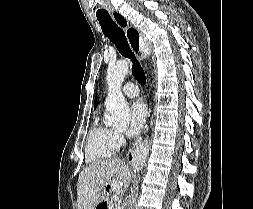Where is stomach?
<instances>
[{
	"label": "stomach",
	"mask_w": 253,
	"mask_h": 209,
	"mask_svg": "<svg viewBox=\"0 0 253 209\" xmlns=\"http://www.w3.org/2000/svg\"><path fill=\"white\" fill-rule=\"evenodd\" d=\"M113 182L101 181L103 191H98V199L95 202V209H114L113 196L114 188Z\"/></svg>",
	"instance_id": "stomach-1"
}]
</instances>
